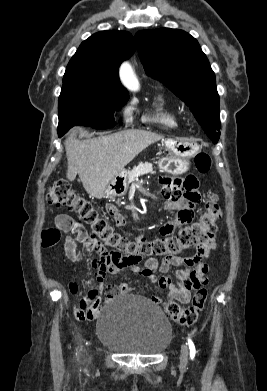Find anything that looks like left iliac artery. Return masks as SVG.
I'll return each mask as SVG.
<instances>
[{
  "label": "left iliac artery",
  "mask_w": 267,
  "mask_h": 391,
  "mask_svg": "<svg viewBox=\"0 0 267 391\" xmlns=\"http://www.w3.org/2000/svg\"><path fill=\"white\" fill-rule=\"evenodd\" d=\"M188 344H189V348H190V357H191V359H193L195 356V353H196L195 346H194L191 339H188Z\"/></svg>",
  "instance_id": "44dca946"
}]
</instances>
